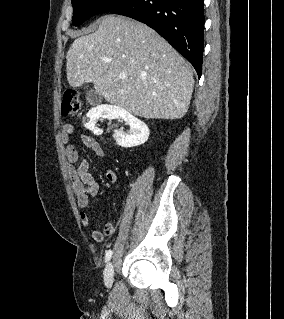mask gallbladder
Returning <instances> with one entry per match:
<instances>
[{
	"mask_svg": "<svg viewBox=\"0 0 284 319\" xmlns=\"http://www.w3.org/2000/svg\"><path fill=\"white\" fill-rule=\"evenodd\" d=\"M104 97L91 90L87 95V101L90 105H99L103 102Z\"/></svg>",
	"mask_w": 284,
	"mask_h": 319,
	"instance_id": "1",
	"label": "gallbladder"
}]
</instances>
